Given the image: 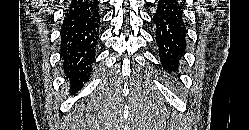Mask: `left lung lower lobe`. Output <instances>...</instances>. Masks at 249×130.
Instances as JSON below:
<instances>
[{"mask_svg": "<svg viewBox=\"0 0 249 130\" xmlns=\"http://www.w3.org/2000/svg\"><path fill=\"white\" fill-rule=\"evenodd\" d=\"M152 19L162 66L170 73L176 72L186 49L187 30L182 7L177 1L162 0L157 4Z\"/></svg>", "mask_w": 249, "mask_h": 130, "instance_id": "0a47b994", "label": "left lung lower lobe"}]
</instances>
